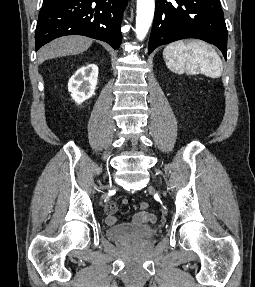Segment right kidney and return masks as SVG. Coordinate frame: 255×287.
<instances>
[{
	"label": "right kidney",
	"mask_w": 255,
	"mask_h": 287,
	"mask_svg": "<svg viewBox=\"0 0 255 287\" xmlns=\"http://www.w3.org/2000/svg\"><path fill=\"white\" fill-rule=\"evenodd\" d=\"M98 78V66L96 64H87L82 66L68 82V92L77 104L85 102L91 98L95 92Z\"/></svg>",
	"instance_id": "right-kidney-1"
}]
</instances>
